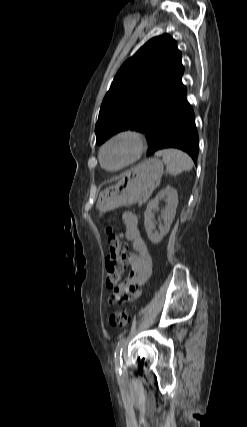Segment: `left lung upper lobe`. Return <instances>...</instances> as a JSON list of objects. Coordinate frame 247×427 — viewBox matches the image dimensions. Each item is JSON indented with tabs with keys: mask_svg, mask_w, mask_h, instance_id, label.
<instances>
[{
	"mask_svg": "<svg viewBox=\"0 0 247 427\" xmlns=\"http://www.w3.org/2000/svg\"><path fill=\"white\" fill-rule=\"evenodd\" d=\"M176 41L152 38L121 66L105 95L95 126L96 143L131 129L146 131L152 119L186 90Z\"/></svg>",
	"mask_w": 247,
	"mask_h": 427,
	"instance_id": "5c2ea615",
	"label": "left lung upper lobe"
}]
</instances>
